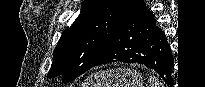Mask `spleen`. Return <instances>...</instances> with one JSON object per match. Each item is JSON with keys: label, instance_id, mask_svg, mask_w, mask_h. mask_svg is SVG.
<instances>
[{"label": "spleen", "instance_id": "3e777b00", "mask_svg": "<svg viewBox=\"0 0 205 87\" xmlns=\"http://www.w3.org/2000/svg\"><path fill=\"white\" fill-rule=\"evenodd\" d=\"M148 83L150 87H163L159 80L154 76H150Z\"/></svg>", "mask_w": 205, "mask_h": 87}]
</instances>
